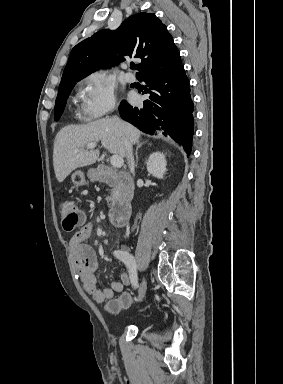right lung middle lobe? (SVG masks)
<instances>
[{"instance_id":"obj_1","label":"right lung middle lobe","mask_w":283,"mask_h":384,"mask_svg":"<svg viewBox=\"0 0 283 384\" xmlns=\"http://www.w3.org/2000/svg\"><path fill=\"white\" fill-rule=\"evenodd\" d=\"M76 83H65L59 85L58 89V95L55 102V113H54V119L57 121L60 119L62 112L64 110L66 100L71 93L73 87Z\"/></svg>"}]
</instances>
